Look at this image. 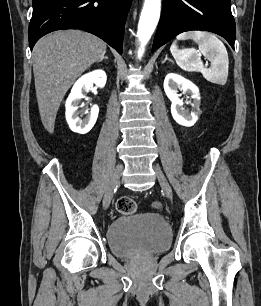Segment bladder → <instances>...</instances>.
<instances>
[{
    "mask_svg": "<svg viewBox=\"0 0 261 306\" xmlns=\"http://www.w3.org/2000/svg\"><path fill=\"white\" fill-rule=\"evenodd\" d=\"M171 241L169 224L155 213L119 217L107 229L110 251L121 258L164 252L170 247Z\"/></svg>",
    "mask_w": 261,
    "mask_h": 306,
    "instance_id": "bladder-1",
    "label": "bladder"
}]
</instances>
